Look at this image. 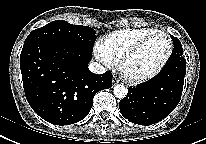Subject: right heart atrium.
I'll return each mask as SVG.
<instances>
[{
    "label": "right heart atrium",
    "instance_id": "right-heart-atrium-1",
    "mask_svg": "<svg viewBox=\"0 0 206 144\" xmlns=\"http://www.w3.org/2000/svg\"><path fill=\"white\" fill-rule=\"evenodd\" d=\"M94 53L96 58L102 62L104 65L111 67L114 65V61L112 58L108 55V53L105 51L103 45L101 42H97L94 46Z\"/></svg>",
    "mask_w": 206,
    "mask_h": 144
}]
</instances>
